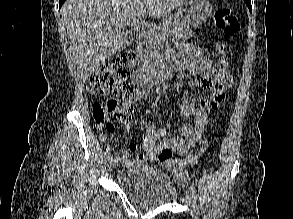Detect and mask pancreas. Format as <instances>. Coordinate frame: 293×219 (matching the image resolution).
<instances>
[{"instance_id":"cf45deb5","label":"pancreas","mask_w":293,"mask_h":219,"mask_svg":"<svg viewBox=\"0 0 293 219\" xmlns=\"http://www.w3.org/2000/svg\"><path fill=\"white\" fill-rule=\"evenodd\" d=\"M168 35L191 38L194 33L178 15L167 17L158 27L149 29L142 48V59L145 66L157 67L162 61L164 41Z\"/></svg>"}]
</instances>
